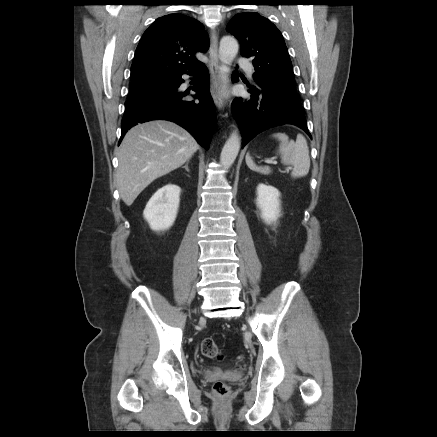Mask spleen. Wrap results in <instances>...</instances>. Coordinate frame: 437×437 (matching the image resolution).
Listing matches in <instances>:
<instances>
[{"label": "spleen", "mask_w": 437, "mask_h": 437, "mask_svg": "<svg viewBox=\"0 0 437 437\" xmlns=\"http://www.w3.org/2000/svg\"><path fill=\"white\" fill-rule=\"evenodd\" d=\"M272 136L280 141L278 153L281 156L282 163L293 167L291 177L300 178L306 176L310 169V156L305 137L298 134L296 141H294L289 140L285 133H275ZM245 160L251 170L265 175L271 173L269 166H257L249 154L246 155Z\"/></svg>", "instance_id": "1"}]
</instances>
